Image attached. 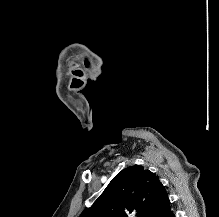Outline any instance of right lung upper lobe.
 <instances>
[{
	"label": "right lung upper lobe",
	"mask_w": 219,
	"mask_h": 217,
	"mask_svg": "<svg viewBox=\"0 0 219 217\" xmlns=\"http://www.w3.org/2000/svg\"><path fill=\"white\" fill-rule=\"evenodd\" d=\"M170 208L167 191L159 178L134 165L118 173L79 217H164Z\"/></svg>",
	"instance_id": "cb5924a9"
}]
</instances>
